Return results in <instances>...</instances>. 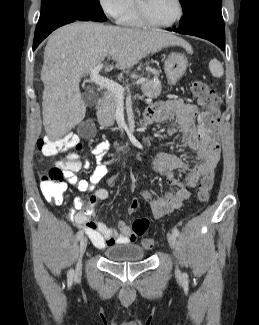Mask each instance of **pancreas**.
I'll return each mask as SVG.
<instances>
[{
    "label": "pancreas",
    "instance_id": "1",
    "mask_svg": "<svg viewBox=\"0 0 259 325\" xmlns=\"http://www.w3.org/2000/svg\"><path fill=\"white\" fill-rule=\"evenodd\" d=\"M159 73L156 72L153 79L146 78L142 83L141 90L146 97L154 98L160 95L162 86L158 79ZM117 96L109 91L105 94L100 107L97 109L98 122L103 127H109L114 124L118 105ZM113 131L117 128H113Z\"/></svg>",
    "mask_w": 259,
    "mask_h": 325
}]
</instances>
